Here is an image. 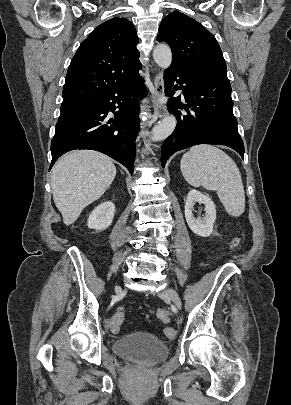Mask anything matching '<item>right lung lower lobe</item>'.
<instances>
[{
	"label": "right lung lower lobe",
	"instance_id": "98d812e1",
	"mask_svg": "<svg viewBox=\"0 0 291 405\" xmlns=\"http://www.w3.org/2000/svg\"><path fill=\"white\" fill-rule=\"evenodd\" d=\"M146 95L138 73L107 88L83 108L58 120L51 142L52 163L74 149H91L109 155L132 174L135 140L140 129L139 100ZM119 109L115 112L116 109ZM114 113V118L108 112Z\"/></svg>",
	"mask_w": 291,
	"mask_h": 405
}]
</instances>
